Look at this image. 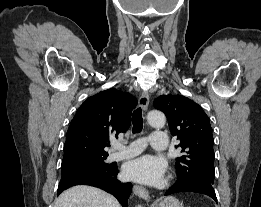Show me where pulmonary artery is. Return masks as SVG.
<instances>
[{"label":"pulmonary artery","mask_w":261,"mask_h":207,"mask_svg":"<svg viewBox=\"0 0 261 207\" xmlns=\"http://www.w3.org/2000/svg\"><path fill=\"white\" fill-rule=\"evenodd\" d=\"M150 144L156 150H165L167 147V136L162 131H155L150 136ZM145 141L143 139H138L132 142L129 146L124 147L120 144H115L114 152L109 155V160L118 161L126 158H130L138 155L144 149Z\"/></svg>","instance_id":"pulmonary-artery-1"}]
</instances>
